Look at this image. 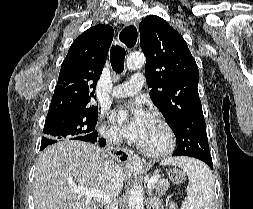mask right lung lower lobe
<instances>
[{
    "label": "right lung lower lobe",
    "mask_w": 253,
    "mask_h": 209,
    "mask_svg": "<svg viewBox=\"0 0 253 209\" xmlns=\"http://www.w3.org/2000/svg\"><path fill=\"white\" fill-rule=\"evenodd\" d=\"M97 136H98V133L96 131H94L93 133H91L88 136H79V137H77L76 140H82V141H86V142L95 143L97 141ZM98 142L101 146L105 145V140L102 138H100Z\"/></svg>",
    "instance_id": "obj_1"
}]
</instances>
